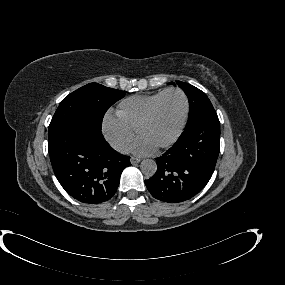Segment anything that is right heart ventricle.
Returning <instances> with one entry per match:
<instances>
[{"mask_svg":"<svg viewBox=\"0 0 285 285\" xmlns=\"http://www.w3.org/2000/svg\"><path fill=\"white\" fill-rule=\"evenodd\" d=\"M165 90L153 94H138L122 100L116 116L131 131L136 132L150 108Z\"/></svg>","mask_w":285,"mask_h":285,"instance_id":"e07e8e85","label":"right heart ventricle"}]
</instances>
